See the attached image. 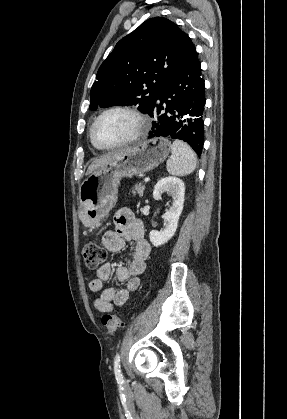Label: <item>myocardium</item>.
<instances>
[{
    "instance_id": "1",
    "label": "myocardium",
    "mask_w": 287,
    "mask_h": 419,
    "mask_svg": "<svg viewBox=\"0 0 287 419\" xmlns=\"http://www.w3.org/2000/svg\"><path fill=\"white\" fill-rule=\"evenodd\" d=\"M116 111L125 112L131 115L138 124L137 130L130 138L122 142H119L116 144L100 143L96 139V136H95V127L103 116H105L108 113L116 112ZM147 129H148L147 119L140 111H138L136 108L132 106L120 104V105H114V106L108 107L98 114V116L94 119L93 123L91 124L90 138H91V141L100 149H115V148L124 147V146H127L129 144L136 142L146 133Z\"/></svg>"
}]
</instances>
